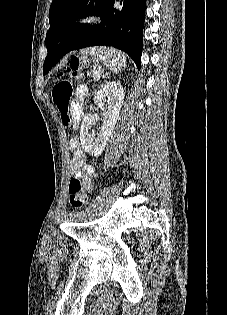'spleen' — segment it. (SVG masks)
<instances>
[{"label": "spleen", "instance_id": "3e777b00", "mask_svg": "<svg viewBox=\"0 0 227 315\" xmlns=\"http://www.w3.org/2000/svg\"><path fill=\"white\" fill-rule=\"evenodd\" d=\"M90 53L102 60L103 64L115 73L120 72L126 66V57L115 49L99 48Z\"/></svg>", "mask_w": 227, "mask_h": 315}]
</instances>
